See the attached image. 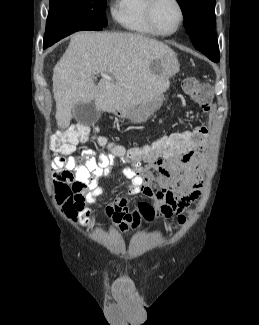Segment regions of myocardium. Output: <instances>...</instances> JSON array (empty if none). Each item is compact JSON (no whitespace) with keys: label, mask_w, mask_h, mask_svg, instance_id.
I'll list each match as a JSON object with an SVG mask.
<instances>
[{"label":"myocardium","mask_w":259,"mask_h":325,"mask_svg":"<svg viewBox=\"0 0 259 325\" xmlns=\"http://www.w3.org/2000/svg\"><path fill=\"white\" fill-rule=\"evenodd\" d=\"M175 5L178 8L179 11V20L178 23L176 25V27L174 28V30H172L171 32H163L161 31L154 20V8L156 3L158 2V0H147V4H146V18L147 21L149 23V25L151 26V28L158 34L161 36H171L173 34H175L179 28L182 26L184 18H185V12H184V7L182 5V3L179 0H172Z\"/></svg>","instance_id":"obj_1"}]
</instances>
